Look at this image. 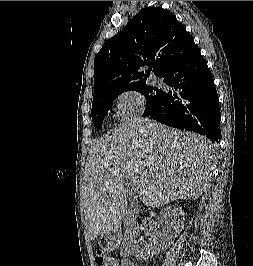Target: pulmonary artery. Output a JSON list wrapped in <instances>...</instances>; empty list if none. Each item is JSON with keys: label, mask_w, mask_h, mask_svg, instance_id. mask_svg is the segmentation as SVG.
<instances>
[{"label": "pulmonary artery", "mask_w": 253, "mask_h": 266, "mask_svg": "<svg viewBox=\"0 0 253 266\" xmlns=\"http://www.w3.org/2000/svg\"><path fill=\"white\" fill-rule=\"evenodd\" d=\"M155 81L157 82V83H160L161 82V80L160 79H155Z\"/></svg>", "instance_id": "1"}]
</instances>
